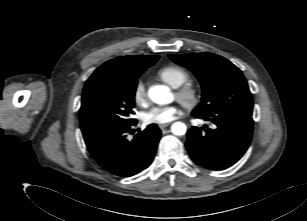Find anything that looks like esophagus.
I'll return each instance as SVG.
<instances>
[{"label":"esophagus","mask_w":307,"mask_h":221,"mask_svg":"<svg viewBox=\"0 0 307 221\" xmlns=\"http://www.w3.org/2000/svg\"><path fill=\"white\" fill-rule=\"evenodd\" d=\"M169 125H170V123L159 124V128H160V129H164V128H166V127L169 126Z\"/></svg>","instance_id":"esophagus-1"}]
</instances>
